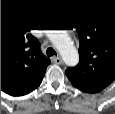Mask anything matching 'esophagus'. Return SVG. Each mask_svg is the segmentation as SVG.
<instances>
[{
    "label": "esophagus",
    "mask_w": 115,
    "mask_h": 114,
    "mask_svg": "<svg viewBox=\"0 0 115 114\" xmlns=\"http://www.w3.org/2000/svg\"><path fill=\"white\" fill-rule=\"evenodd\" d=\"M52 61L56 64H62L63 61H62V58L61 57H53L52 58Z\"/></svg>",
    "instance_id": "obj_1"
}]
</instances>
